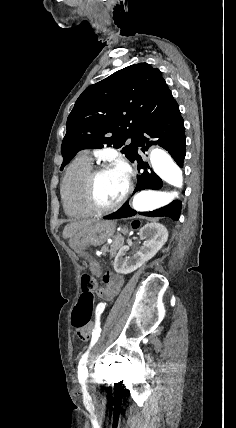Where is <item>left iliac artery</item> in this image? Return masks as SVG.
<instances>
[{
	"instance_id": "1",
	"label": "left iliac artery",
	"mask_w": 236,
	"mask_h": 428,
	"mask_svg": "<svg viewBox=\"0 0 236 428\" xmlns=\"http://www.w3.org/2000/svg\"><path fill=\"white\" fill-rule=\"evenodd\" d=\"M104 308H105V304L103 303L98 304L96 308V324L92 332V339H91V344L89 349H91V347L97 342L98 338L100 337V333H101L100 314L103 312ZM88 355H89V350L85 354H83L82 358L79 361L78 377H84V378L88 377V370L86 367Z\"/></svg>"
}]
</instances>
